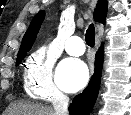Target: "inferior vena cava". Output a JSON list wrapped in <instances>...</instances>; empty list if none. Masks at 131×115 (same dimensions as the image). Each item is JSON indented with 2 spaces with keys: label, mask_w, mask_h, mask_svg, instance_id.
I'll use <instances>...</instances> for the list:
<instances>
[{
  "label": "inferior vena cava",
  "mask_w": 131,
  "mask_h": 115,
  "mask_svg": "<svg viewBox=\"0 0 131 115\" xmlns=\"http://www.w3.org/2000/svg\"><path fill=\"white\" fill-rule=\"evenodd\" d=\"M52 103L56 115H68L69 98L66 95L57 94Z\"/></svg>",
  "instance_id": "602c4592"
}]
</instances>
